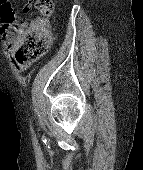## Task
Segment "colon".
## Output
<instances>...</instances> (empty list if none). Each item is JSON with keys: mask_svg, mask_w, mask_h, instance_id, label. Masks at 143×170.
<instances>
[{"mask_svg": "<svg viewBox=\"0 0 143 170\" xmlns=\"http://www.w3.org/2000/svg\"><path fill=\"white\" fill-rule=\"evenodd\" d=\"M35 7L40 17L30 22L24 30L16 49V58L20 63L37 60L44 56L52 43V31L48 19L53 16V0H36ZM0 14L4 22L15 20V12L10 0H0Z\"/></svg>", "mask_w": 143, "mask_h": 170, "instance_id": "colon-1", "label": "colon"}]
</instances>
